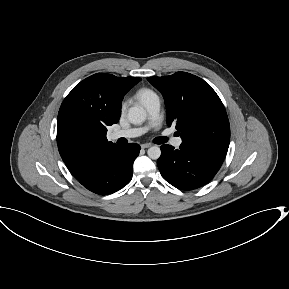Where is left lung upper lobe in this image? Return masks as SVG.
Listing matches in <instances>:
<instances>
[{
	"label": "left lung upper lobe",
	"instance_id": "1",
	"mask_svg": "<svg viewBox=\"0 0 289 289\" xmlns=\"http://www.w3.org/2000/svg\"><path fill=\"white\" fill-rule=\"evenodd\" d=\"M163 95L167 124L176 125L182 143L226 156L230 125L223 103L201 78L186 72L149 77Z\"/></svg>",
	"mask_w": 289,
	"mask_h": 289
}]
</instances>
